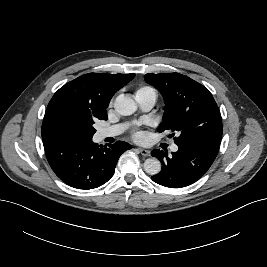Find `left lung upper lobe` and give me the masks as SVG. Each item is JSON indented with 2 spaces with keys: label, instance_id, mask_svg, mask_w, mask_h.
<instances>
[{
  "label": "left lung upper lobe",
  "instance_id": "5c2ea615",
  "mask_svg": "<svg viewBox=\"0 0 267 267\" xmlns=\"http://www.w3.org/2000/svg\"><path fill=\"white\" fill-rule=\"evenodd\" d=\"M145 81L160 91L166 103L159 132H178L179 136L174 138L177 145L221 142L220 111L203 85L179 73H149Z\"/></svg>",
  "mask_w": 267,
  "mask_h": 267
}]
</instances>
